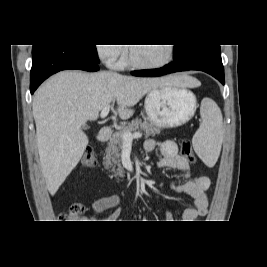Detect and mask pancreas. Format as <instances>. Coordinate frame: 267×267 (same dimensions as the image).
<instances>
[{
  "mask_svg": "<svg viewBox=\"0 0 267 267\" xmlns=\"http://www.w3.org/2000/svg\"><path fill=\"white\" fill-rule=\"evenodd\" d=\"M136 131H144L145 137L147 138L149 136H155V134L159 132V129L152 124H149L147 122H141L140 120L135 119L128 125L122 127L118 132L113 133L108 143V147L106 149V156L103 162L104 167L106 169L111 168V172L122 176L124 170L120 164L119 158L120 151L122 150L124 144L123 134L126 132L132 133Z\"/></svg>",
  "mask_w": 267,
  "mask_h": 267,
  "instance_id": "obj_1",
  "label": "pancreas"
}]
</instances>
